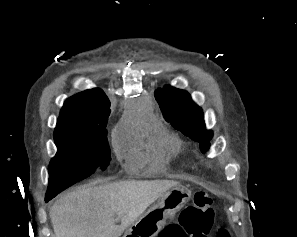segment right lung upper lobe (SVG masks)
<instances>
[{
    "label": "right lung upper lobe",
    "instance_id": "1",
    "mask_svg": "<svg viewBox=\"0 0 297 237\" xmlns=\"http://www.w3.org/2000/svg\"><path fill=\"white\" fill-rule=\"evenodd\" d=\"M109 107L108 97L99 88L78 93L64 102L56 128L105 126L110 113Z\"/></svg>",
    "mask_w": 297,
    "mask_h": 237
}]
</instances>
